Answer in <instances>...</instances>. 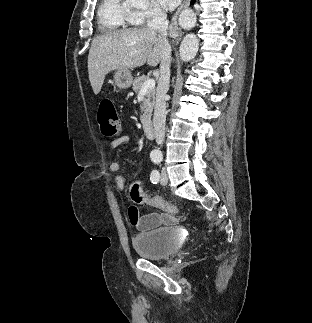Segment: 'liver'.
Here are the masks:
<instances>
[{"label":"liver","mask_w":312,"mask_h":323,"mask_svg":"<svg viewBox=\"0 0 312 323\" xmlns=\"http://www.w3.org/2000/svg\"><path fill=\"white\" fill-rule=\"evenodd\" d=\"M162 48L156 30L144 26L133 30L105 32L94 38L88 56V74L94 94H99L106 74L122 68L158 66Z\"/></svg>","instance_id":"liver-1"}]
</instances>
